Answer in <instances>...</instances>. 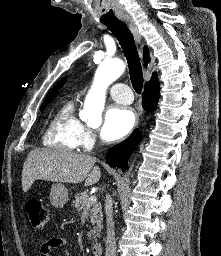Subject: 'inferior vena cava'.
Segmentation results:
<instances>
[{
	"mask_svg": "<svg viewBox=\"0 0 221 256\" xmlns=\"http://www.w3.org/2000/svg\"><path fill=\"white\" fill-rule=\"evenodd\" d=\"M113 201L109 194L105 199V212L107 222V238H106V252L105 256H116V239L113 221Z\"/></svg>",
	"mask_w": 221,
	"mask_h": 256,
	"instance_id": "obj_1",
	"label": "inferior vena cava"
}]
</instances>
